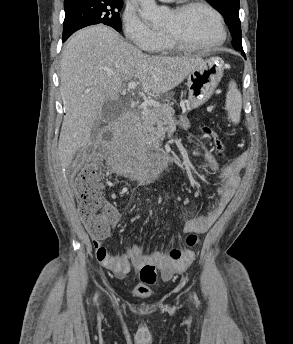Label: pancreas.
<instances>
[{
	"label": "pancreas",
	"mask_w": 293,
	"mask_h": 344,
	"mask_svg": "<svg viewBox=\"0 0 293 344\" xmlns=\"http://www.w3.org/2000/svg\"><path fill=\"white\" fill-rule=\"evenodd\" d=\"M173 110L170 109L169 105L163 104L160 108H150L147 111L141 113V120L137 124V128L133 129H122L119 136L122 139L129 138L133 135L147 134L154 130L153 126L158 125L160 127L169 123L177 124L173 117ZM161 134V130L156 131Z\"/></svg>",
	"instance_id": "cf45deb5"
}]
</instances>
